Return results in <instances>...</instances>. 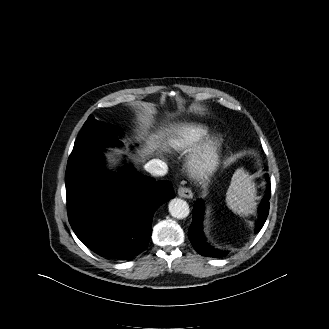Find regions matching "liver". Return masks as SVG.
Listing matches in <instances>:
<instances>
[{
    "instance_id": "obj_1",
    "label": "liver",
    "mask_w": 329,
    "mask_h": 329,
    "mask_svg": "<svg viewBox=\"0 0 329 329\" xmlns=\"http://www.w3.org/2000/svg\"><path fill=\"white\" fill-rule=\"evenodd\" d=\"M155 138H159V136H155ZM153 147H154V143H153V140H152L151 143L149 144L148 148L145 150V152H148V153L151 152Z\"/></svg>"
}]
</instances>
